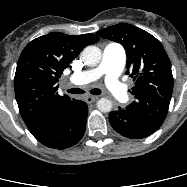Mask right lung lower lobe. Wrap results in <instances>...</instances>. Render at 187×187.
I'll list each match as a JSON object with an SVG mask.
<instances>
[{
  "instance_id": "obj_1",
  "label": "right lung lower lobe",
  "mask_w": 187,
  "mask_h": 187,
  "mask_svg": "<svg viewBox=\"0 0 187 187\" xmlns=\"http://www.w3.org/2000/svg\"><path fill=\"white\" fill-rule=\"evenodd\" d=\"M87 115V104L81 100H74L44 127L32 134L47 147L57 149L71 147L83 137Z\"/></svg>"
}]
</instances>
